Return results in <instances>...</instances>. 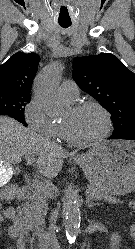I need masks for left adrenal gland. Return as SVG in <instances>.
I'll list each match as a JSON object with an SVG mask.
<instances>
[{"label":"left adrenal gland","mask_w":135,"mask_h":249,"mask_svg":"<svg viewBox=\"0 0 135 249\" xmlns=\"http://www.w3.org/2000/svg\"><path fill=\"white\" fill-rule=\"evenodd\" d=\"M97 205H100V203H94V202H92V201L90 200L89 197L86 198V206H87L88 208H92V207L97 206Z\"/></svg>","instance_id":"obj_1"}]
</instances>
